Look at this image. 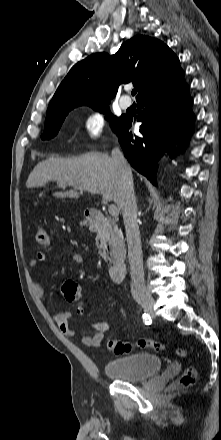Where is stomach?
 Masks as SVG:
<instances>
[{"label":"stomach","instance_id":"0dacf381","mask_svg":"<svg viewBox=\"0 0 221 440\" xmlns=\"http://www.w3.org/2000/svg\"><path fill=\"white\" fill-rule=\"evenodd\" d=\"M81 224H83V225H84V224H86V222L84 221V222H83V223H81Z\"/></svg>","mask_w":221,"mask_h":440}]
</instances>
